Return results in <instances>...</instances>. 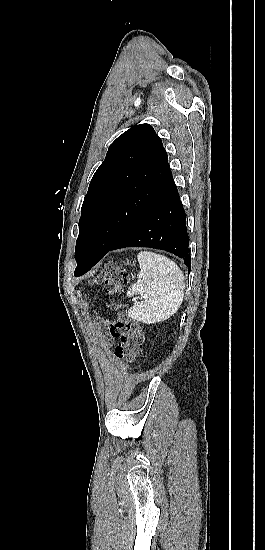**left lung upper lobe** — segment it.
<instances>
[{"label":"left lung upper lobe","mask_w":265,"mask_h":550,"mask_svg":"<svg viewBox=\"0 0 265 550\" xmlns=\"http://www.w3.org/2000/svg\"><path fill=\"white\" fill-rule=\"evenodd\" d=\"M173 182L167 152L152 126L135 125L121 134L84 198L75 247L77 268L90 251L108 250Z\"/></svg>","instance_id":"left-lung-upper-lobe-1"}]
</instances>
